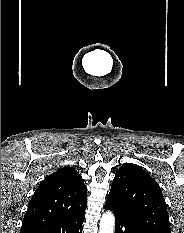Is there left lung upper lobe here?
<instances>
[{
  "label": "left lung upper lobe",
  "instance_id": "obj_1",
  "mask_svg": "<svg viewBox=\"0 0 184 233\" xmlns=\"http://www.w3.org/2000/svg\"><path fill=\"white\" fill-rule=\"evenodd\" d=\"M145 233H171L167 205L158 183L141 167L124 164L107 198Z\"/></svg>",
  "mask_w": 184,
  "mask_h": 233
}]
</instances>
